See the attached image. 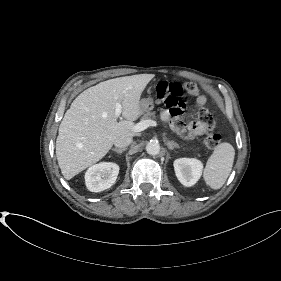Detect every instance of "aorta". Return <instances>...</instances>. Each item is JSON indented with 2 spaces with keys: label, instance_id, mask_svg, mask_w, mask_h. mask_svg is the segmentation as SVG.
<instances>
[{
  "label": "aorta",
  "instance_id": "aorta-1",
  "mask_svg": "<svg viewBox=\"0 0 281 281\" xmlns=\"http://www.w3.org/2000/svg\"><path fill=\"white\" fill-rule=\"evenodd\" d=\"M146 151L149 155H158L160 152V145L156 141H150L146 145Z\"/></svg>",
  "mask_w": 281,
  "mask_h": 281
}]
</instances>
